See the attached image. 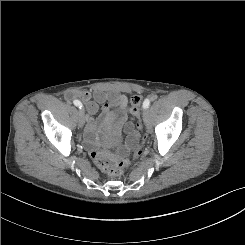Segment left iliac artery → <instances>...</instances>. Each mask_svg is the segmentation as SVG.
Segmentation results:
<instances>
[{
    "instance_id": "44dca946",
    "label": "left iliac artery",
    "mask_w": 245,
    "mask_h": 245,
    "mask_svg": "<svg viewBox=\"0 0 245 245\" xmlns=\"http://www.w3.org/2000/svg\"><path fill=\"white\" fill-rule=\"evenodd\" d=\"M150 105V100L149 99H145L144 102H143V108L144 109H147Z\"/></svg>"
}]
</instances>
